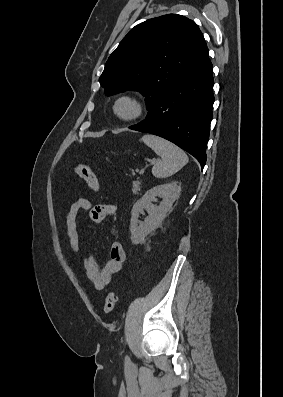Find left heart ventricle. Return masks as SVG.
Here are the masks:
<instances>
[{
	"label": "left heart ventricle",
	"mask_w": 283,
	"mask_h": 397,
	"mask_svg": "<svg viewBox=\"0 0 283 397\" xmlns=\"http://www.w3.org/2000/svg\"><path fill=\"white\" fill-rule=\"evenodd\" d=\"M118 110L122 115H129L133 112L134 107L130 102H122L119 105Z\"/></svg>",
	"instance_id": "obj_1"
}]
</instances>
